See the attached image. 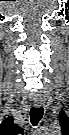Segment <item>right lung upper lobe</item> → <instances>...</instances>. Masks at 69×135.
<instances>
[{
    "label": "right lung upper lobe",
    "instance_id": "cb5924a9",
    "mask_svg": "<svg viewBox=\"0 0 69 135\" xmlns=\"http://www.w3.org/2000/svg\"><path fill=\"white\" fill-rule=\"evenodd\" d=\"M2 126L3 128L11 129L14 133L15 132L23 133V130L13 123V118L11 116H9L6 120L3 121Z\"/></svg>",
    "mask_w": 69,
    "mask_h": 135
}]
</instances>
